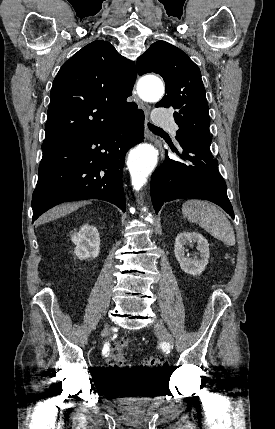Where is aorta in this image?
Returning <instances> with one entry per match:
<instances>
[{"instance_id":"762f6f07","label":"aorta","mask_w":275,"mask_h":429,"mask_svg":"<svg viewBox=\"0 0 275 429\" xmlns=\"http://www.w3.org/2000/svg\"><path fill=\"white\" fill-rule=\"evenodd\" d=\"M139 94L142 99L155 102L162 98L164 86L157 77L143 78L139 83ZM158 151L151 144H141L130 154L128 166L133 188L139 191L147 182V178L157 164ZM146 220L152 222L151 215Z\"/></svg>"}]
</instances>
